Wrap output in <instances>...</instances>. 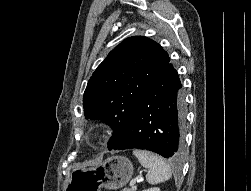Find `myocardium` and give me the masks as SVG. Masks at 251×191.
<instances>
[{
  "label": "myocardium",
  "mask_w": 251,
  "mask_h": 191,
  "mask_svg": "<svg viewBox=\"0 0 251 191\" xmlns=\"http://www.w3.org/2000/svg\"><path fill=\"white\" fill-rule=\"evenodd\" d=\"M109 136L108 127L101 123L90 125L82 132L83 141L93 150L103 149L109 140Z\"/></svg>",
  "instance_id": "f54148a6"
}]
</instances>
